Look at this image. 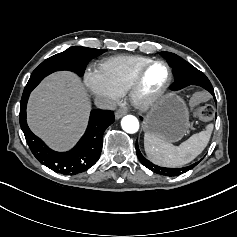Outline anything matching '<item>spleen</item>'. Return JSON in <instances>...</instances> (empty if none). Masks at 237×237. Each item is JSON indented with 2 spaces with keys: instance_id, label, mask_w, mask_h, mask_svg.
Returning <instances> with one entry per match:
<instances>
[{
  "instance_id": "3e777b00",
  "label": "spleen",
  "mask_w": 237,
  "mask_h": 237,
  "mask_svg": "<svg viewBox=\"0 0 237 237\" xmlns=\"http://www.w3.org/2000/svg\"><path fill=\"white\" fill-rule=\"evenodd\" d=\"M213 128V124H208L206 130L193 134L179 146L168 143L151 133H145L146 155L156 165L170 168L181 167L202 153L210 140Z\"/></svg>"
}]
</instances>
